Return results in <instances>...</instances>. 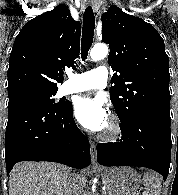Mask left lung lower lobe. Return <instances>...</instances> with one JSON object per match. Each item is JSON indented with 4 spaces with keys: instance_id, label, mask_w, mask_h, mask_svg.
Here are the masks:
<instances>
[{
    "instance_id": "0a47b994",
    "label": "left lung lower lobe",
    "mask_w": 178,
    "mask_h": 195,
    "mask_svg": "<svg viewBox=\"0 0 178 195\" xmlns=\"http://www.w3.org/2000/svg\"><path fill=\"white\" fill-rule=\"evenodd\" d=\"M171 120L137 116L121 123L122 139L97 145V161L104 166L147 167L166 180L171 155Z\"/></svg>"
}]
</instances>
